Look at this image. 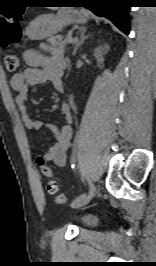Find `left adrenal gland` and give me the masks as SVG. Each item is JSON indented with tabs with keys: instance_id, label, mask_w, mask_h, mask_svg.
<instances>
[{
	"instance_id": "obj_1",
	"label": "left adrenal gland",
	"mask_w": 156,
	"mask_h": 266,
	"mask_svg": "<svg viewBox=\"0 0 156 266\" xmlns=\"http://www.w3.org/2000/svg\"><path fill=\"white\" fill-rule=\"evenodd\" d=\"M80 38L79 40L76 42L74 50H73V55L76 54V51L78 50V48L84 43V41L89 37V35H85L86 33V27H82L80 28Z\"/></svg>"
}]
</instances>
